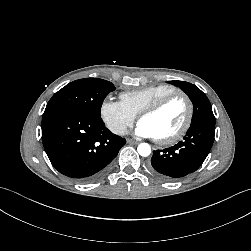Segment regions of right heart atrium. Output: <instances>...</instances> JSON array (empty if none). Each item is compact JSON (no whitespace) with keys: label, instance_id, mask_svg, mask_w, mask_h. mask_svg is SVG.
Wrapping results in <instances>:
<instances>
[{"label":"right heart atrium","instance_id":"d8ad5b80","mask_svg":"<svg viewBox=\"0 0 251 251\" xmlns=\"http://www.w3.org/2000/svg\"><path fill=\"white\" fill-rule=\"evenodd\" d=\"M100 116L106 127L114 134L122 136L127 133L135 121L121 101L105 99L100 106Z\"/></svg>","mask_w":251,"mask_h":251}]
</instances>
